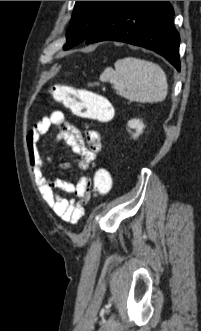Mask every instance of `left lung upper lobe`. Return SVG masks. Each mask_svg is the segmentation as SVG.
<instances>
[{
  "mask_svg": "<svg viewBox=\"0 0 201 331\" xmlns=\"http://www.w3.org/2000/svg\"><path fill=\"white\" fill-rule=\"evenodd\" d=\"M119 2L76 1L63 48L69 49L85 41Z\"/></svg>",
  "mask_w": 201,
  "mask_h": 331,
  "instance_id": "5c2ea615",
  "label": "left lung upper lobe"
}]
</instances>
